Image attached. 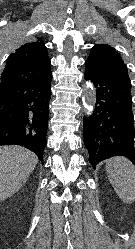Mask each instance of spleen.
I'll return each instance as SVG.
<instances>
[{"mask_svg": "<svg viewBox=\"0 0 135 249\" xmlns=\"http://www.w3.org/2000/svg\"><path fill=\"white\" fill-rule=\"evenodd\" d=\"M108 179L119 198L125 204L135 201V169L124 157L111 158L106 162Z\"/></svg>", "mask_w": 135, "mask_h": 249, "instance_id": "spleen-1", "label": "spleen"}]
</instances>
